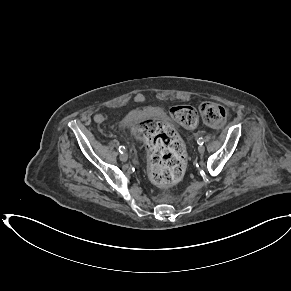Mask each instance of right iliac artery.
I'll return each mask as SVG.
<instances>
[{
	"label": "right iliac artery",
	"mask_w": 291,
	"mask_h": 291,
	"mask_svg": "<svg viewBox=\"0 0 291 291\" xmlns=\"http://www.w3.org/2000/svg\"><path fill=\"white\" fill-rule=\"evenodd\" d=\"M125 151V147L124 146H119V152L123 153Z\"/></svg>",
	"instance_id": "82829eb1"
}]
</instances>
